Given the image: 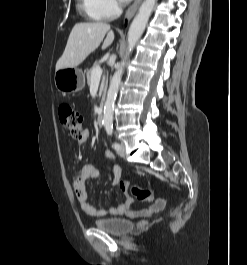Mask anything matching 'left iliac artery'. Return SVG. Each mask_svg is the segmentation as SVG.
Listing matches in <instances>:
<instances>
[{
  "label": "left iliac artery",
  "mask_w": 247,
  "mask_h": 265,
  "mask_svg": "<svg viewBox=\"0 0 247 265\" xmlns=\"http://www.w3.org/2000/svg\"><path fill=\"white\" fill-rule=\"evenodd\" d=\"M106 132H107V134L110 135V136L113 134V125H112V124H108V125H106ZM112 147H113L114 149H118V148L120 147V145H119L118 143L114 142V143L112 144Z\"/></svg>",
  "instance_id": "obj_1"
}]
</instances>
